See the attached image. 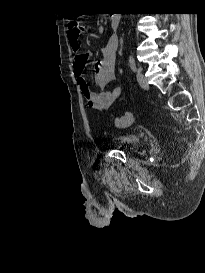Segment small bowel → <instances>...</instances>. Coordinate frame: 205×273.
<instances>
[{"instance_id": "c3829d8e", "label": "small bowel", "mask_w": 205, "mask_h": 273, "mask_svg": "<svg viewBox=\"0 0 205 273\" xmlns=\"http://www.w3.org/2000/svg\"><path fill=\"white\" fill-rule=\"evenodd\" d=\"M78 22H71L68 25V39L71 50L76 54L73 63L75 76L78 78V84L86 99L88 106L94 110L102 111L108 109L120 96L121 89L116 86L107 89V86L115 80L116 50L118 39L112 37L101 49V59L93 64L94 82L99 88L98 91H92L83 72L89 58L88 53L81 52L79 35L86 28L82 26L78 35L70 34V26H75Z\"/></svg>"}]
</instances>
